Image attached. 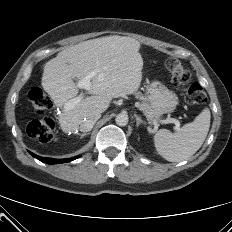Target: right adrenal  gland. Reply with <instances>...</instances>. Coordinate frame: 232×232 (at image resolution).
<instances>
[{"label":"right adrenal gland","mask_w":232,"mask_h":232,"mask_svg":"<svg viewBox=\"0 0 232 232\" xmlns=\"http://www.w3.org/2000/svg\"><path fill=\"white\" fill-rule=\"evenodd\" d=\"M89 134H90V133H82V134L78 133L77 135H79V136H80V139H82L84 136L89 135Z\"/></svg>","instance_id":"2a0ac1e0"}]
</instances>
